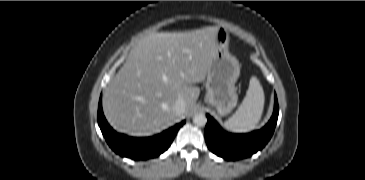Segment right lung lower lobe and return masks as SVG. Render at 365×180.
Masks as SVG:
<instances>
[{
	"instance_id": "right-lung-lower-lobe-1",
	"label": "right lung lower lobe",
	"mask_w": 365,
	"mask_h": 180,
	"mask_svg": "<svg viewBox=\"0 0 365 180\" xmlns=\"http://www.w3.org/2000/svg\"><path fill=\"white\" fill-rule=\"evenodd\" d=\"M184 123L185 121H182L156 136L147 138L129 137L117 133L110 127L103 114L102 96L99 100L98 124L105 140L115 153L133 160H146L163 153L169 148L177 131Z\"/></svg>"
}]
</instances>
